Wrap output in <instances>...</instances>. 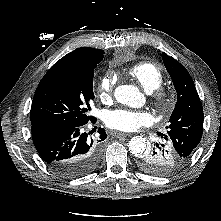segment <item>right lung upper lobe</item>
I'll use <instances>...</instances> for the list:
<instances>
[{
	"label": "right lung upper lobe",
	"mask_w": 221,
	"mask_h": 221,
	"mask_svg": "<svg viewBox=\"0 0 221 221\" xmlns=\"http://www.w3.org/2000/svg\"><path fill=\"white\" fill-rule=\"evenodd\" d=\"M104 51L101 49H95L91 47H81L77 48L76 50L68 53L64 57H62L60 60H58L51 68H61L65 66H71L75 65L83 60L92 58V57H103ZM32 126L37 125L35 122H31Z\"/></svg>",
	"instance_id": "1"
}]
</instances>
